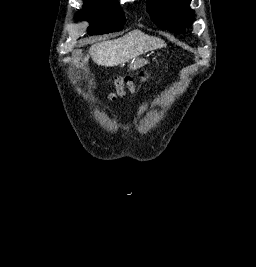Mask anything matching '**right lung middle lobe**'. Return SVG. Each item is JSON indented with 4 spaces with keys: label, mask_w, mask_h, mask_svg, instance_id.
Segmentation results:
<instances>
[{
    "label": "right lung middle lobe",
    "mask_w": 256,
    "mask_h": 267,
    "mask_svg": "<svg viewBox=\"0 0 256 267\" xmlns=\"http://www.w3.org/2000/svg\"><path fill=\"white\" fill-rule=\"evenodd\" d=\"M84 9L79 11V20H88L89 35H101L123 29L126 18L122 9L114 1L84 2Z\"/></svg>",
    "instance_id": "1"
}]
</instances>
